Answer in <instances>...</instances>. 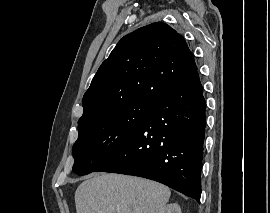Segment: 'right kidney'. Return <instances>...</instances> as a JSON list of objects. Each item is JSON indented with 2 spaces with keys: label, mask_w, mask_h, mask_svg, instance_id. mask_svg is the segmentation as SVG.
<instances>
[{
  "label": "right kidney",
  "mask_w": 270,
  "mask_h": 213,
  "mask_svg": "<svg viewBox=\"0 0 270 213\" xmlns=\"http://www.w3.org/2000/svg\"><path fill=\"white\" fill-rule=\"evenodd\" d=\"M158 213H181V208L177 203H171L162 207Z\"/></svg>",
  "instance_id": "right-kidney-1"
}]
</instances>
